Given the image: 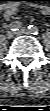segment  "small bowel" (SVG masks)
I'll use <instances>...</instances> for the list:
<instances>
[{
    "mask_svg": "<svg viewBox=\"0 0 50 111\" xmlns=\"http://www.w3.org/2000/svg\"><path fill=\"white\" fill-rule=\"evenodd\" d=\"M40 13H41L42 15H47V14H48V11L41 10ZM15 14H16V9H15V8H8V9H6V11H5L4 18H5L6 20H10Z\"/></svg>",
    "mask_w": 50,
    "mask_h": 111,
    "instance_id": "obj_1",
    "label": "small bowel"
}]
</instances>
